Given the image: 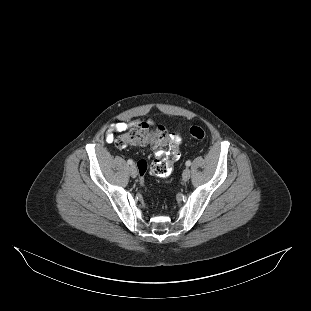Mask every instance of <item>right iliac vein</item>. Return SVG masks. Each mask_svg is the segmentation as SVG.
<instances>
[{
	"label": "right iliac vein",
	"mask_w": 311,
	"mask_h": 311,
	"mask_svg": "<svg viewBox=\"0 0 311 311\" xmlns=\"http://www.w3.org/2000/svg\"><path fill=\"white\" fill-rule=\"evenodd\" d=\"M129 173L131 177L135 178L137 176V169L134 165L130 166Z\"/></svg>",
	"instance_id": "right-iliac-vein-1"
}]
</instances>
